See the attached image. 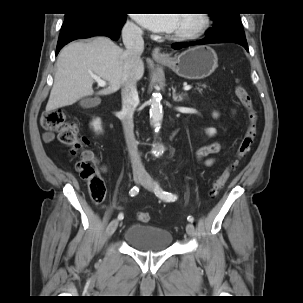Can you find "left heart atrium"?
<instances>
[{
	"instance_id": "39dd6f15",
	"label": "left heart atrium",
	"mask_w": 303,
	"mask_h": 303,
	"mask_svg": "<svg viewBox=\"0 0 303 303\" xmlns=\"http://www.w3.org/2000/svg\"><path fill=\"white\" fill-rule=\"evenodd\" d=\"M137 21L154 32H172L178 22V14H136Z\"/></svg>"
}]
</instances>
